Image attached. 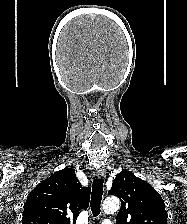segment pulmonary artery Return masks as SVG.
I'll return each mask as SVG.
<instances>
[{
  "instance_id": "pulmonary-artery-1",
  "label": "pulmonary artery",
  "mask_w": 187,
  "mask_h": 224,
  "mask_svg": "<svg viewBox=\"0 0 187 224\" xmlns=\"http://www.w3.org/2000/svg\"><path fill=\"white\" fill-rule=\"evenodd\" d=\"M101 224H113V222L109 219H105V220L102 221Z\"/></svg>"
}]
</instances>
